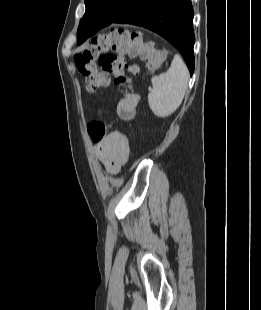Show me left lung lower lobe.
<instances>
[{
	"instance_id": "0a47b994",
	"label": "left lung lower lobe",
	"mask_w": 261,
	"mask_h": 310,
	"mask_svg": "<svg viewBox=\"0 0 261 310\" xmlns=\"http://www.w3.org/2000/svg\"><path fill=\"white\" fill-rule=\"evenodd\" d=\"M193 16L191 0H127L112 20L86 22L78 33L77 44L112 23L142 26L172 43L182 54L192 75L195 43Z\"/></svg>"
}]
</instances>
